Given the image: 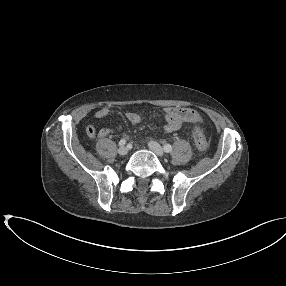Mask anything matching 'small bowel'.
<instances>
[{
	"label": "small bowel",
	"instance_id": "1",
	"mask_svg": "<svg viewBox=\"0 0 286 286\" xmlns=\"http://www.w3.org/2000/svg\"><path fill=\"white\" fill-rule=\"evenodd\" d=\"M109 112L107 107H101L95 112L94 117L103 119L109 115ZM163 114L165 117L164 130L166 132H175L184 123H199L202 121L200 113L189 107H166L163 109ZM125 116L131 124H138L142 120L141 115L135 112H127ZM86 132L89 138H94L96 134L100 138H106L113 131L109 128H102L97 133L96 128L90 125L87 127Z\"/></svg>",
	"mask_w": 286,
	"mask_h": 286
}]
</instances>
